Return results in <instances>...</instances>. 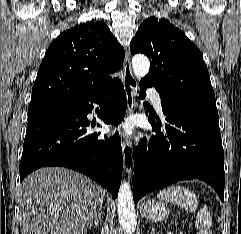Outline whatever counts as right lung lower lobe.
Returning a JSON list of instances; mask_svg holds the SVG:
<instances>
[{
  "mask_svg": "<svg viewBox=\"0 0 241 234\" xmlns=\"http://www.w3.org/2000/svg\"><path fill=\"white\" fill-rule=\"evenodd\" d=\"M107 124L123 120L127 102L123 84L115 79L89 98L62 107L29 113L20 181L32 171L47 166H63L82 172L100 183L115 199L122 178L123 157L118 133L112 137L90 133L87 119L93 105Z\"/></svg>",
  "mask_w": 241,
  "mask_h": 234,
  "instance_id": "right-lung-lower-lobe-1",
  "label": "right lung lower lobe"
}]
</instances>
